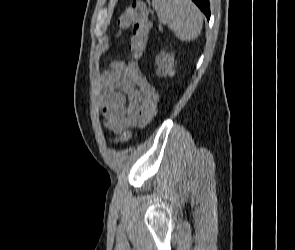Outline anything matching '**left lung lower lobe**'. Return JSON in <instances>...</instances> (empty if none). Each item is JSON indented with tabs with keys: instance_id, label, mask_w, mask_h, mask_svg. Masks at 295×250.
Segmentation results:
<instances>
[{
	"instance_id": "1",
	"label": "left lung lower lobe",
	"mask_w": 295,
	"mask_h": 250,
	"mask_svg": "<svg viewBox=\"0 0 295 250\" xmlns=\"http://www.w3.org/2000/svg\"><path fill=\"white\" fill-rule=\"evenodd\" d=\"M206 15L207 19L210 18L209 0H192Z\"/></svg>"
}]
</instances>
